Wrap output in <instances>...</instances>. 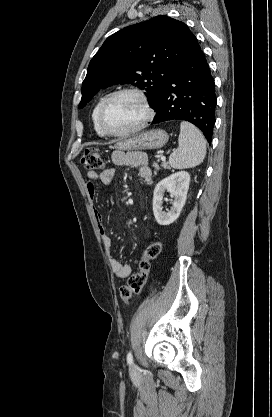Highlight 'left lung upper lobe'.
Listing matches in <instances>:
<instances>
[{
  "mask_svg": "<svg viewBox=\"0 0 272 417\" xmlns=\"http://www.w3.org/2000/svg\"><path fill=\"white\" fill-rule=\"evenodd\" d=\"M199 49L187 25L164 15L121 29L90 61L79 108L100 88L125 83L145 89L150 107L155 108L167 80Z\"/></svg>",
  "mask_w": 272,
  "mask_h": 417,
  "instance_id": "left-lung-upper-lobe-1",
  "label": "left lung upper lobe"
}]
</instances>
